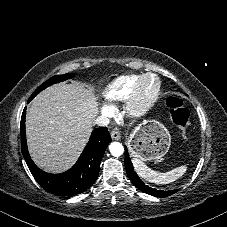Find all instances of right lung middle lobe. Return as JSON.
I'll list each match as a JSON object with an SVG mask.
<instances>
[{
    "label": "right lung middle lobe",
    "instance_id": "obj_1",
    "mask_svg": "<svg viewBox=\"0 0 227 227\" xmlns=\"http://www.w3.org/2000/svg\"><path fill=\"white\" fill-rule=\"evenodd\" d=\"M74 77V74H64V75H56L45 81L42 85H40L35 92L31 95L29 101H31L40 91L44 90L45 88L49 87L50 85H53L58 82L65 81L67 79H70Z\"/></svg>",
    "mask_w": 227,
    "mask_h": 227
}]
</instances>
